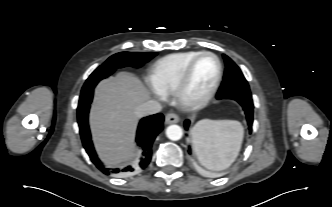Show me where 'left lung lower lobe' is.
Here are the masks:
<instances>
[{"instance_id":"0a47b994","label":"left lung lower lobe","mask_w":332,"mask_h":207,"mask_svg":"<svg viewBox=\"0 0 332 207\" xmlns=\"http://www.w3.org/2000/svg\"><path fill=\"white\" fill-rule=\"evenodd\" d=\"M224 98H229L237 101L243 108L246 114L248 126H249V131L251 133L252 131V123H253V101H252V96H244V95H228V96H218L217 99H224ZM190 125V120H186L184 122V127L186 130H188ZM189 154H191V148L189 147L188 149Z\"/></svg>"}]
</instances>
